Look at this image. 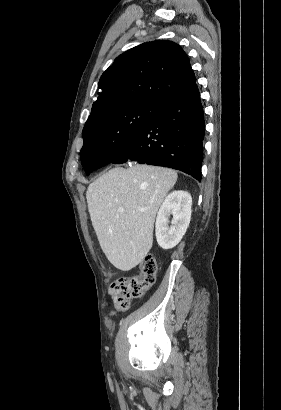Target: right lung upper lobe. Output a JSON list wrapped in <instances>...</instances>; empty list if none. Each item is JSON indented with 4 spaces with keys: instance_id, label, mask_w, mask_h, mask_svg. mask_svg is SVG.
<instances>
[{
    "instance_id": "cb5924a9",
    "label": "right lung upper lobe",
    "mask_w": 281,
    "mask_h": 410,
    "mask_svg": "<svg viewBox=\"0 0 281 410\" xmlns=\"http://www.w3.org/2000/svg\"><path fill=\"white\" fill-rule=\"evenodd\" d=\"M98 87L101 92L90 117L111 107L133 104L159 107L193 91L197 85L183 49L172 41L157 40L121 54L102 74Z\"/></svg>"
}]
</instances>
